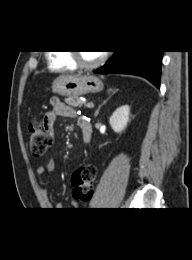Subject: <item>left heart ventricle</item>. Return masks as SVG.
Wrapping results in <instances>:
<instances>
[{
  "label": "left heart ventricle",
  "instance_id": "obj_1",
  "mask_svg": "<svg viewBox=\"0 0 192 260\" xmlns=\"http://www.w3.org/2000/svg\"><path fill=\"white\" fill-rule=\"evenodd\" d=\"M80 55L83 61H85L86 63H92L101 56V53L96 51H82L80 52Z\"/></svg>",
  "mask_w": 192,
  "mask_h": 260
}]
</instances>
